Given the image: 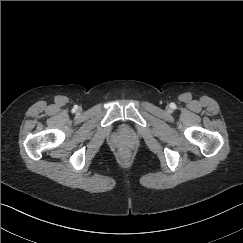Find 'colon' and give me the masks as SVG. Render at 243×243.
Segmentation results:
<instances>
[{
  "instance_id": "obj_1",
  "label": "colon",
  "mask_w": 243,
  "mask_h": 243,
  "mask_svg": "<svg viewBox=\"0 0 243 243\" xmlns=\"http://www.w3.org/2000/svg\"><path fill=\"white\" fill-rule=\"evenodd\" d=\"M120 155L123 159L127 160L129 158L128 153L125 150L120 151Z\"/></svg>"
}]
</instances>
